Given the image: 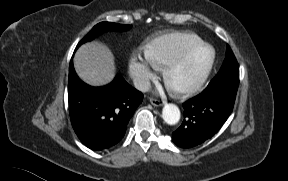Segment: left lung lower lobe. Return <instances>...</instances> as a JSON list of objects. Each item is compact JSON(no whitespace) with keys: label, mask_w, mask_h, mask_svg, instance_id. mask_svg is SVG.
I'll list each match as a JSON object with an SVG mask.
<instances>
[{"label":"left lung lower lobe","mask_w":288,"mask_h":181,"mask_svg":"<svg viewBox=\"0 0 288 181\" xmlns=\"http://www.w3.org/2000/svg\"><path fill=\"white\" fill-rule=\"evenodd\" d=\"M235 97L219 91H203L185 102L184 120L172 133L173 142L179 147L191 148L210 139L231 114Z\"/></svg>","instance_id":"obj_1"}]
</instances>
